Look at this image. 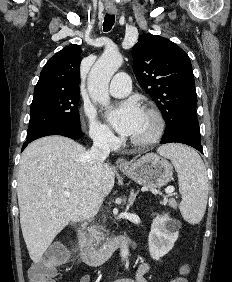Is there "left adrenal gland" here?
Returning a JSON list of instances; mask_svg holds the SVG:
<instances>
[{"label":"left adrenal gland","mask_w":232,"mask_h":282,"mask_svg":"<svg viewBox=\"0 0 232 282\" xmlns=\"http://www.w3.org/2000/svg\"><path fill=\"white\" fill-rule=\"evenodd\" d=\"M137 193H134V190L131 191L129 196V205L132 206L135 199H136Z\"/></svg>","instance_id":"obj_1"}]
</instances>
